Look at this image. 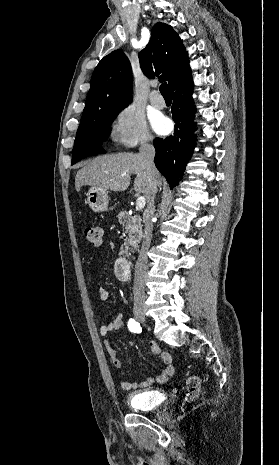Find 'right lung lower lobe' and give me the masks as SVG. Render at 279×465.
Instances as JSON below:
<instances>
[{
  "instance_id": "obj_1",
  "label": "right lung lower lobe",
  "mask_w": 279,
  "mask_h": 465,
  "mask_svg": "<svg viewBox=\"0 0 279 465\" xmlns=\"http://www.w3.org/2000/svg\"><path fill=\"white\" fill-rule=\"evenodd\" d=\"M171 92L175 131L166 139L156 138L154 147L156 150L155 165L172 188L181 180L196 142L193 135L195 130L193 119L196 110L192 99V77H187Z\"/></svg>"
}]
</instances>
